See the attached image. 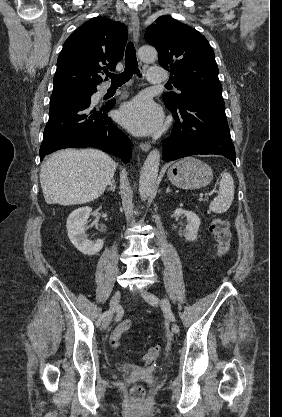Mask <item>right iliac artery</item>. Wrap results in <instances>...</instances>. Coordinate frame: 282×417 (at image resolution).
<instances>
[{
	"label": "right iliac artery",
	"mask_w": 282,
	"mask_h": 417,
	"mask_svg": "<svg viewBox=\"0 0 282 417\" xmlns=\"http://www.w3.org/2000/svg\"><path fill=\"white\" fill-rule=\"evenodd\" d=\"M110 314V311L109 310H107V311H105L101 316H100V318L98 319V323L100 324L101 323V321L106 317V316H108Z\"/></svg>",
	"instance_id": "1"
}]
</instances>
